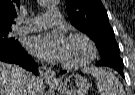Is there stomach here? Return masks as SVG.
I'll list each match as a JSON object with an SVG mask.
<instances>
[{"mask_svg": "<svg viewBox=\"0 0 135 95\" xmlns=\"http://www.w3.org/2000/svg\"><path fill=\"white\" fill-rule=\"evenodd\" d=\"M57 87L64 95H86L90 88V83L79 74H71L65 77Z\"/></svg>", "mask_w": 135, "mask_h": 95, "instance_id": "obj_1", "label": "stomach"}]
</instances>
